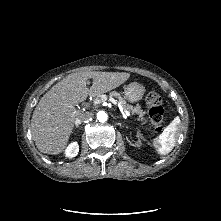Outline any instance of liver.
<instances>
[{"mask_svg":"<svg viewBox=\"0 0 221 221\" xmlns=\"http://www.w3.org/2000/svg\"><path fill=\"white\" fill-rule=\"evenodd\" d=\"M130 77L125 72H78L55 84L40 99L31 119V134L42 153H62L69 142L75 119L81 114L75 105L87 96H98L111 91ZM93 79L90 88L87 80Z\"/></svg>","mask_w":221,"mask_h":221,"instance_id":"liver-1","label":"liver"}]
</instances>
